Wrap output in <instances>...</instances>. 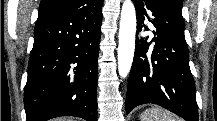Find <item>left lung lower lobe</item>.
<instances>
[{"mask_svg": "<svg viewBox=\"0 0 217 121\" xmlns=\"http://www.w3.org/2000/svg\"><path fill=\"white\" fill-rule=\"evenodd\" d=\"M133 3L137 32L149 30L144 25L146 19L155 30L151 42L136 43L126 113L140 104L153 103L186 121H198L195 82L189 67L182 14L166 0H133Z\"/></svg>", "mask_w": 217, "mask_h": 121, "instance_id": "0a47b994", "label": "left lung lower lobe"}]
</instances>
